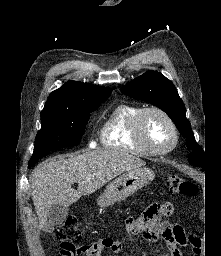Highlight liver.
I'll return each instance as SVG.
<instances>
[{"instance_id":"obj_1","label":"liver","mask_w":221,"mask_h":256,"mask_svg":"<svg viewBox=\"0 0 221 256\" xmlns=\"http://www.w3.org/2000/svg\"><path fill=\"white\" fill-rule=\"evenodd\" d=\"M145 164L139 157L116 149L88 151L69 158L59 156L42 162L29 179L39 229L45 228L53 205L69 207L82 195L92 194L118 175ZM73 183H78L77 190L72 189Z\"/></svg>"}]
</instances>
